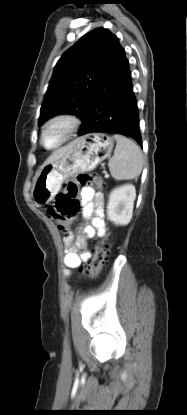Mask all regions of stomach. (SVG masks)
Masks as SVG:
<instances>
[{"label": "stomach", "mask_w": 187, "mask_h": 415, "mask_svg": "<svg viewBox=\"0 0 187 415\" xmlns=\"http://www.w3.org/2000/svg\"><path fill=\"white\" fill-rule=\"evenodd\" d=\"M114 138L105 133H93L69 144V149L54 162L41 166L34 177L31 196L38 205L51 202L62 182L78 172L93 170L108 158Z\"/></svg>", "instance_id": "stomach-1"}]
</instances>
